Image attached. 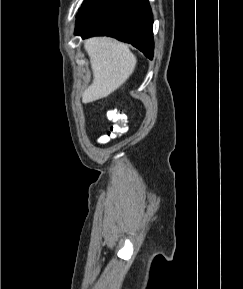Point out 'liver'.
Masks as SVG:
<instances>
[{
  "mask_svg": "<svg viewBox=\"0 0 243 289\" xmlns=\"http://www.w3.org/2000/svg\"><path fill=\"white\" fill-rule=\"evenodd\" d=\"M93 72L92 84L83 92L82 102L107 97L121 87L135 70L137 59L129 47L107 37L84 41Z\"/></svg>",
  "mask_w": 243,
  "mask_h": 289,
  "instance_id": "obj_1",
  "label": "liver"
}]
</instances>
